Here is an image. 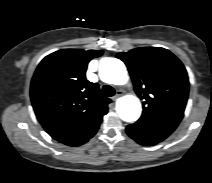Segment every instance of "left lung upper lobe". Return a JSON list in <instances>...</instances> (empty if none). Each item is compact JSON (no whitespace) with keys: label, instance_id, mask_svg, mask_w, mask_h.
I'll use <instances>...</instances> for the list:
<instances>
[{"label":"left lung upper lobe","instance_id":"1","mask_svg":"<svg viewBox=\"0 0 212 183\" xmlns=\"http://www.w3.org/2000/svg\"><path fill=\"white\" fill-rule=\"evenodd\" d=\"M117 58L127 65L137 95L145 99L137 122L173 132L184 115L189 91L181 61L160 47L136 48Z\"/></svg>","mask_w":212,"mask_h":183}]
</instances>
